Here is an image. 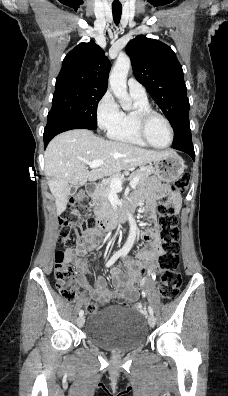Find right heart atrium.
<instances>
[{
  "label": "right heart atrium",
  "instance_id": "d8ad5b80",
  "mask_svg": "<svg viewBox=\"0 0 228 396\" xmlns=\"http://www.w3.org/2000/svg\"><path fill=\"white\" fill-rule=\"evenodd\" d=\"M121 115L122 112L111 92H105L96 106L98 127L103 131H109L120 122Z\"/></svg>",
  "mask_w": 228,
  "mask_h": 396
}]
</instances>
